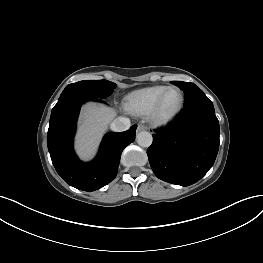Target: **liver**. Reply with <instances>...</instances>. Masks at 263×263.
Here are the masks:
<instances>
[{
	"label": "liver",
	"instance_id": "liver-1",
	"mask_svg": "<svg viewBox=\"0 0 263 263\" xmlns=\"http://www.w3.org/2000/svg\"><path fill=\"white\" fill-rule=\"evenodd\" d=\"M114 116V111L96 104H87L83 108L77 136V149L82 158L92 156L107 124Z\"/></svg>",
	"mask_w": 263,
	"mask_h": 263
}]
</instances>
